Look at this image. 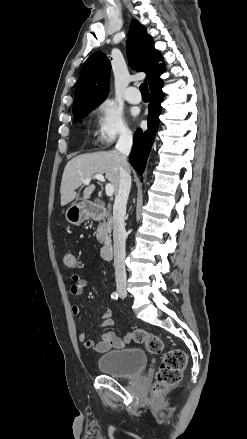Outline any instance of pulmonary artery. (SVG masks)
I'll return each instance as SVG.
<instances>
[{
    "label": "pulmonary artery",
    "mask_w": 247,
    "mask_h": 439,
    "mask_svg": "<svg viewBox=\"0 0 247 439\" xmlns=\"http://www.w3.org/2000/svg\"><path fill=\"white\" fill-rule=\"evenodd\" d=\"M124 97L129 103L132 104H138L141 102V95L138 93L137 88L133 86L126 89Z\"/></svg>",
    "instance_id": "obj_1"
}]
</instances>
